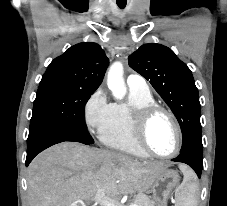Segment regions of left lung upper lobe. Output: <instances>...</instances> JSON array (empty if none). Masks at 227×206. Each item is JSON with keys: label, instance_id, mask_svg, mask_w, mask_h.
Segmentation results:
<instances>
[{"label": "left lung upper lobe", "instance_id": "5c2ea615", "mask_svg": "<svg viewBox=\"0 0 227 206\" xmlns=\"http://www.w3.org/2000/svg\"><path fill=\"white\" fill-rule=\"evenodd\" d=\"M128 61L149 80L176 116L183 136L181 151L190 148L202 155L198 89L187 65L171 49L156 43L142 45Z\"/></svg>", "mask_w": 227, "mask_h": 206}]
</instances>
